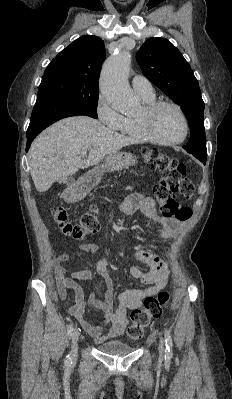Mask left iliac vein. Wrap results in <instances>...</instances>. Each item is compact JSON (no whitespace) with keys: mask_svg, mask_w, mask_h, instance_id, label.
<instances>
[{"mask_svg":"<svg viewBox=\"0 0 232 399\" xmlns=\"http://www.w3.org/2000/svg\"><path fill=\"white\" fill-rule=\"evenodd\" d=\"M158 350H159L161 356L165 355L166 349H165V344H164V338L163 337L159 338Z\"/></svg>","mask_w":232,"mask_h":399,"instance_id":"4c4485c4","label":"left iliac vein"}]
</instances>
